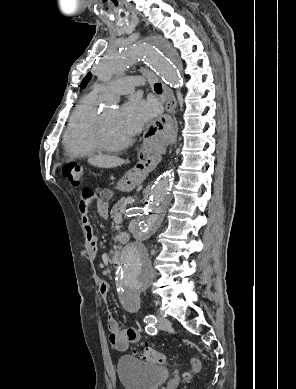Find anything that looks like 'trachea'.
I'll use <instances>...</instances> for the list:
<instances>
[{
	"label": "trachea",
	"mask_w": 296,
	"mask_h": 389,
	"mask_svg": "<svg viewBox=\"0 0 296 389\" xmlns=\"http://www.w3.org/2000/svg\"><path fill=\"white\" fill-rule=\"evenodd\" d=\"M154 90L156 93L161 94L162 93V85L160 83L154 84Z\"/></svg>",
	"instance_id": "3493384b"
}]
</instances>
